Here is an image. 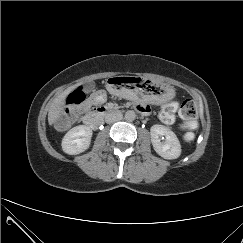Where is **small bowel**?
<instances>
[{
  "label": "small bowel",
  "instance_id": "1",
  "mask_svg": "<svg viewBox=\"0 0 243 243\" xmlns=\"http://www.w3.org/2000/svg\"><path fill=\"white\" fill-rule=\"evenodd\" d=\"M105 100H106L105 92L98 91V92H95L94 94L91 95V97L85 103V106L90 107V106H93V105H100V104L104 103ZM136 109L139 112H141L142 114H145V115L149 114V112H150L149 107L147 105H144V104H141V103H138L136 105Z\"/></svg>",
  "mask_w": 243,
  "mask_h": 243
}]
</instances>
